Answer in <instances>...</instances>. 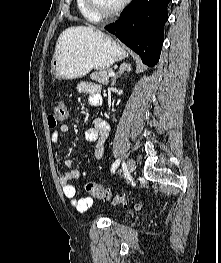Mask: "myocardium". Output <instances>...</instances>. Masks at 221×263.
Returning a JSON list of instances; mask_svg holds the SVG:
<instances>
[{
    "label": "myocardium",
    "instance_id": "f54148a6",
    "mask_svg": "<svg viewBox=\"0 0 221 263\" xmlns=\"http://www.w3.org/2000/svg\"><path fill=\"white\" fill-rule=\"evenodd\" d=\"M87 10L92 13L97 19L111 18L118 15L129 0H122L121 3L113 10L103 11L94 2V0H83Z\"/></svg>",
    "mask_w": 221,
    "mask_h": 263
}]
</instances>
